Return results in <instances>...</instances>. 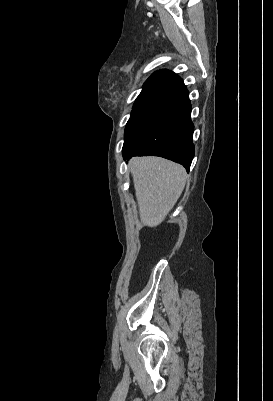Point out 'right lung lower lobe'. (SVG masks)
<instances>
[{"label": "right lung lower lobe", "instance_id": "98d812e1", "mask_svg": "<svg viewBox=\"0 0 273 401\" xmlns=\"http://www.w3.org/2000/svg\"><path fill=\"white\" fill-rule=\"evenodd\" d=\"M188 91L170 98L124 143V159L132 156H160L183 165L189 171L194 157L193 131Z\"/></svg>", "mask_w": 273, "mask_h": 401}]
</instances>
